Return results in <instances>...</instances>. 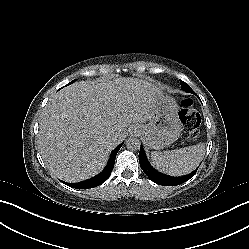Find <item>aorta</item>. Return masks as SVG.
I'll use <instances>...</instances> for the list:
<instances>
[{
  "label": "aorta",
  "instance_id": "obj_1",
  "mask_svg": "<svg viewBox=\"0 0 249 249\" xmlns=\"http://www.w3.org/2000/svg\"><path fill=\"white\" fill-rule=\"evenodd\" d=\"M125 144L128 150H138L140 148V141L135 137L128 138Z\"/></svg>",
  "mask_w": 249,
  "mask_h": 249
}]
</instances>
